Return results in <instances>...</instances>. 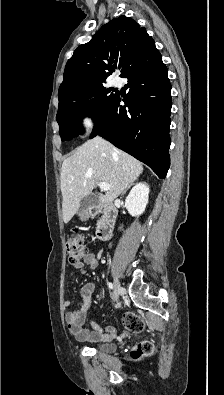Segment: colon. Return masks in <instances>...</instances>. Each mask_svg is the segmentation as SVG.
<instances>
[{"mask_svg":"<svg viewBox=\"0 0 224 395\" xmlns=\"http://www.w3.org/2000/svg\"><path fill=\"white\" fill-rule=\"evenodd\" d=\"M65 251L68 261L72 265L78 264L86 252L85 236L81 232H74L65 243ZM123 325L126 329L131 332L139 333L143 330V320L134 313H125L123 316ZM154 347L150 342H143L137 351L135 356H149L153 353Z\"/></svg>","mask_w":224,"mask_h":395,"instance_id":"colon-1","label":"colon"}]
</instances>
